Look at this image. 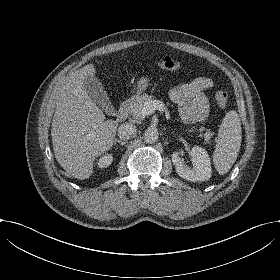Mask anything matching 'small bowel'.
I'll list each match as a JSON object with an SVG mask.
<instances>
[{
	"label": "small bowel",
	"mask_w": 280,
	"mask_h": 280,
	"mask_svg": "<svg viewBox=\"0 0 280 280\" xmlns=\"http://www.w3.org/2000/svg\"><path fill=\"white\" fill-rule=\"evenodd\" d=\"M213 87L214 81L211 78L198 77L169 90V97L177 104L182 121L195 124L207 119L209 105L203 91Z\"/></svg>",
	"instance_id": "obj_1"
}]
</instances>
